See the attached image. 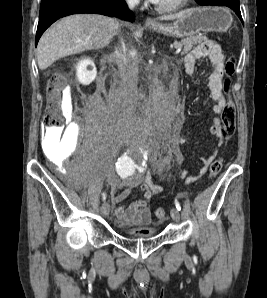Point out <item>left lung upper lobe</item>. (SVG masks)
<instances>
[{
    "label": "left lung upper lobe",
    "mask_w": 267,
    "mask_h": 298,
    "mask_svg": "<svg viewBox=\"0 0 267 298\" xmlns=\"http://www.w3.org/2000/svg\"><path fill=\"white\" fill-rule=\"evenodd\" d=\"M198 4H202L204 1H206V0H195ZM235 1H238V0H235Z\"/></svg>",
    "instance_id": "left-lung-upper-lobe-1"
}]
</instances>
